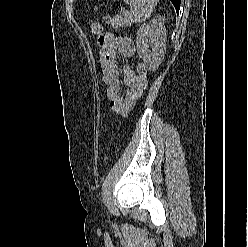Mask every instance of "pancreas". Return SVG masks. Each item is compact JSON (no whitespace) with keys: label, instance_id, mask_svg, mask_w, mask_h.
<instances>
[{"label":"pancreas","instance_id":"1","mask_svg":"<svg viewBox=\"0 0 248 247\" xmlns=\"http://www.w3.org/2000/svg\"><path fill=\"white\" fill-rule=\"evenodd\" d=\"M113 28L128 26L129 21L126 18L123 17H115L110 21Z\"/></svg>","mask_w":248,"mask_h":247}]
</instances>
